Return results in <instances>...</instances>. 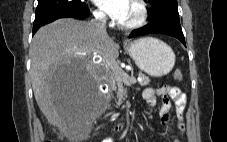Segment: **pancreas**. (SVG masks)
<instances>
[{"label":"pancreas","mask_w":227,"mask_h":142,"mask_svg":"<svg viewBox=\"0 0 227 142\" xmlns=\"http://www.w3.org/2000/svg\"><path fill=\"white\" fill-rule=\"evenodd\" d=\"M139 77L141 80L139 81V84L141 86H146L149 84L150 79L148 76L143 74L142 72H139ZM114 81H115V86L117 87V98H118V105H121L123 101L127 97V88L123 85V81L117 77V75H114Z\"/></svg>","instance_id":"1"}]
</instances>
